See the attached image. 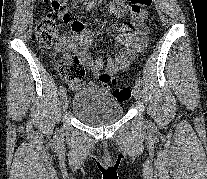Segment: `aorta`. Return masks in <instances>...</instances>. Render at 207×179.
Wrapping results in <instances>:
<instances>
[{"label": "aorta", "instance_id": "1", "mask_svg": "<svg viewBox=\"0 0 207 179\" xmlns=\"http://www.w3.org/2000/svg\"><path fill=\"white\" fill-rule=\"evenodd\" d=\"M89 2H90L91 4H95V3L97 2V0H89Z\"/></svg>", "mask_w": 207, "mask_h": 179}]
</instances>
